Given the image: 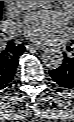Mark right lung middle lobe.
Wrapping results in <instances>:
<instances>
[{
  "label": "right lung middle lobe",
  "mask_w": 74,
  "mask_h": 122,
  "mask_svg": "<svg viewBox=\"0 0 74 122\" xmlns=\"http://www.w3.org/2000/svg\"><path fill=\"white\" fill-rule=\"evenodd\" d=\"M2 1H0V19H1V15H2Z\"/></svg>",
  "instance_id": "right-lung-middle-lobe-1"
}]
</instances>
